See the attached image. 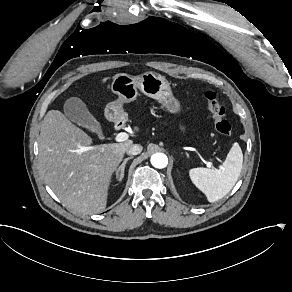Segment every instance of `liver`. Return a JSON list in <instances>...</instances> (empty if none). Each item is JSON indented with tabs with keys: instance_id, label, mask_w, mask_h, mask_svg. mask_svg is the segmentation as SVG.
<instances>
[{
	"instance_id": "obj_1",
	"label": "liver",
	"mask_w": 292,
	"mask_h": 292,
	"mask_svg": "<svg viewBox=\"0 0 292 292\" xmlns=\"http://www.w3.org/2000/svg\"><path fill=\"white\" fill-rule=\"evenodd\" d=\"M105 83V79L100 81ZM133 132L138 134L140 127L134 126ZM92 144L93 138L59 110L51 109L45 115L38 142L41 173L66 207L91 215L107 206L113 175L133 140L89 148Z\"/></svg>"
}]
</instances>
